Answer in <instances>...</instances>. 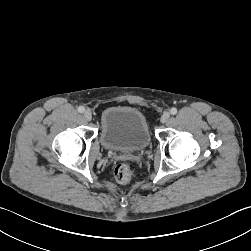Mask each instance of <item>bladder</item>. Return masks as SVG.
<instances>
[{"label":"bladder","mask_w":251,"mask_h":251,"mask_svg":"<svg viewBox=\"0 0 251 251\" xmlns=\"http://www.w3.org/2000/svg\"><path fill=\"white\" fill-rule=\"evenodd\" d=\"M100 139L108 150L136 152L147 148L151 136L142 112L133 107L113 106L102 112Z\"/></svg>","instance_id":"1"}]
</instances>
